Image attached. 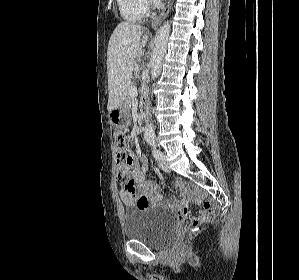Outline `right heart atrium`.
I'll return each mask as SVG.
<instances>
[{
    "instance_id": "obj_1",
    "label": "right heart atrium",
    "mask_w": 299,
    "mask_h": 280,
    "mask_svg": "<svg viewBox=\"0 0 299 280\" xmlns=\"http://www.w3.org/2000/svg\"><path fill=\"white\" fill-rule=\"evenodd\" d=\"M144 1H145L147 6L151 5V0H144Z\"/></svg>"
}]
</instances>
